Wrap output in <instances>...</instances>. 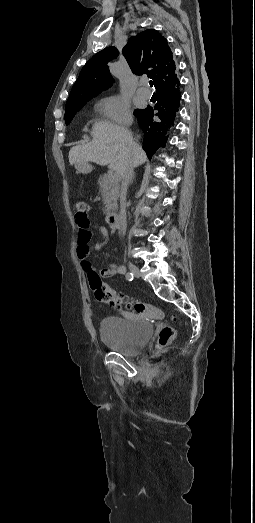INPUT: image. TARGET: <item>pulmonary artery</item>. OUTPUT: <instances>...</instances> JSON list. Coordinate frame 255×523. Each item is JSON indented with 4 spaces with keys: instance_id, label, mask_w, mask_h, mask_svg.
I'll return each instance as SVG.
<instances>
[{
    "instance_id": "obj_1",
    "label": "pulmonary artery",
    "mask_w": 255,
    "mask_h": 523,
    "mask_svg": "<svg viewBox=\"0 0 255 523\" xmlns=\"http://www.w3.org/2000/svg\"><path fill=\"white\" fill-rule=\"evenodd\" d=\"M138 96L149 99L151 98L153 91L151 90L149 86V82L146 78L141 79L140 81V87L137 90Z\"/></svg>"
}]
</instances>
